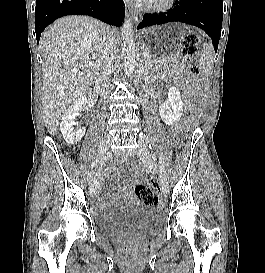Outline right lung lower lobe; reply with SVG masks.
I'll return each mask as SVG.
<instances>
[{"mask_svg": "<svg viewBox=\"0 0 265 273\" xmlns=\"http://www.w3.org/2000/svg\"><path fill=\"white\" fill-rule=\"evenodd\" d=\"M66 15H89L119 27L124 21L125 6L122 0H36L37 42L49 24Z\"/></svg>", "mask_w": 265, "mask_h": 273, "instance_id": "obj_1", "label": "right lung lower lobe"}]
</instances>
